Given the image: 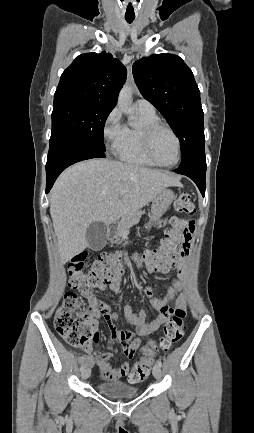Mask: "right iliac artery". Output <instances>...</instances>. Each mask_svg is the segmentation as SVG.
I'll list each match as a JSON object with an SVG mask.
<instances>
[{
  "label": "right iliac artery",
  "instance_id": "right-iliac-artery-1",
  "mask_svg": "<svg viewBox=\"0 0 254 433\" xmlns=\"http://www.w3.org/2000/svg\"><path fill=\"white\" fill-rule=\"evenodd\" d=\"M84 368H85V367L82 365V366L80 367V370L82 371Z\"/></svg>",
  "mask_w": 254,
  "mask_h": 433
}]
</instances>
